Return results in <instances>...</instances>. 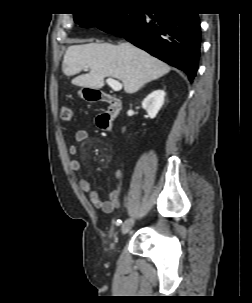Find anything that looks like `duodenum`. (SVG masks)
<instances>
[{"label": "duodenum", "instance_id": "1", "mask_svg": "<svg viewBox=\"0 0 252 303\" xmlns=\"http://www.w3.org/2000/svg\"><path fill=\"white\" fill-rule=\"evenodd\" d=\"M90 99L100 100L107 103V110L100 115V119L105 124V130L111 131L112 122L122 109V102L110 94L99 91H92L90 93Z\"/></svg>", "mask_w": 252, "mask_h": 303}]
</instances>
